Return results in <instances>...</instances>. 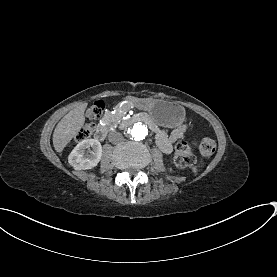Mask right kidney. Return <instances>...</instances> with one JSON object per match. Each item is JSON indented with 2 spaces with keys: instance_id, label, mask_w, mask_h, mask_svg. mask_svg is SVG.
<instances>
[{
  "instance_id": "ca27d5eb",
  "label": "right kidney",
  "mask_w": 277,
  "mask_h": 277,
  "mask_svg": "<svg viewBox=\"0 0 277 277\" xmlns=\"http://www.w3.org/2000/svg\"><path fill=\"white\" fill-rule=\"evenodd\" d=\"M102 153V146L99 141L84 139L69 154L68 164L74 170H89L98 165L102 158Z\"/></svg>"
}]
</instances>
